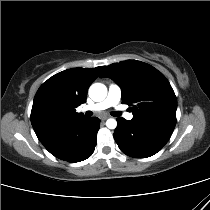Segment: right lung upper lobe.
Returning a JSON list of instances; mask_svg holds the SVG:
<instances>
[{
	"label": "right lung upper lobe",
	"mask_w": 210,
	"mask_h": 210,
	"mask_svg": "<svg viewBox=\"0 0 210 210\" xmlns=\"http://www.w3.org/2000/svg\"><path fill=\"white\" fill-rule=\"evenodd\" d=\"M102 69L103 66L64 70L40 86L31 111V123L39 140L84 117L76 113V108L85 103L87 90Z\"/></svg>",
	"instance_id": "obj_1"
}]
</instances>
